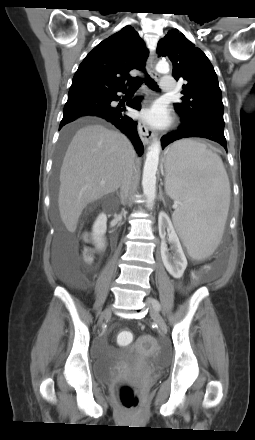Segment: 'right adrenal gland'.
Wrapping results in <instances>:
<instances>
[{
    "label": "right adrenal gland",
    "mask_w": 255,
    "mask_h": 440,
    "mask_svg": "<svg viewBox=\"0 0 255 440\" xmlns=\"http://www.w3.org/2000/svg\"><path fill=\"white\" fill-rule=\"evenodd\" d=\"M116 195L121 199V195L118 191L116 192Z\"/></svg>",
    "instance_id": "obj_1"
}]
</instances>
